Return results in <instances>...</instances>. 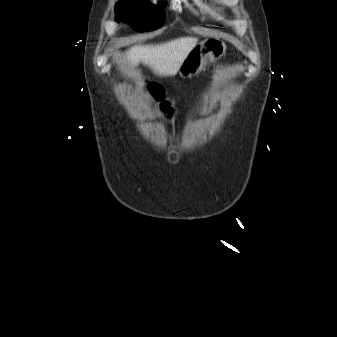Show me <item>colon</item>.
I'll list each match as a JSON object with an SVG mask.
<instances>
[{"mask_svg": "<svg viewBox=\"0 0 337 337\" xmlns=\"http://www.w3.org/2000/svg\"><path fill=\"white\" fill-rule=\"evenodd\" d=\"M151 89L155 92L157 98L161 99V97H162V91H161V89L157 85H151ZM163 106L165 108H168L169 105L167 103H164Z\"/></svg>", "mask_w": 337, "mask_h": 337, "instance_id": "5ec220e1", "label": "colon"}]
</instances>
